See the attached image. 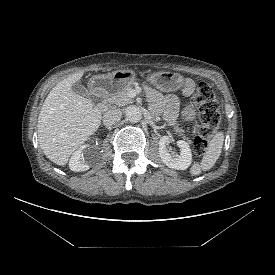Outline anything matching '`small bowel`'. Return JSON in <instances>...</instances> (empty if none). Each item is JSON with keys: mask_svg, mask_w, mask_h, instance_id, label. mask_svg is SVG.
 <instances>
[{"mask_svg": "<svg viewBox=\"0 0 275 275\" xmlns=\"http://www.w3.org/2000/svg\"><path fill=\"white\" fill-rule=\"evenodd\" d=\"M194 91V83L192 80L185 79L183 81V93L185 96H190ZM147 94L150 100L158 108H161L165 117L169 122H174L178 111V100L175 96L169 95L160 97L156 91L147 87Z\"/></svg>", "mask_w": 275, "mask_h": 275, "instance_id": "small-bowel-1", "label": "small bowel"}]
</instances>
